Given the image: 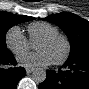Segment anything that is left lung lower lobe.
<instances>
[{"label":"left lung lower lobe","instance_id":"obj_1","mask_svg":"<svg viewBox=\"0 0 89 89\" xmlns=\"http://www.w3.org/2000/svg\"><path fill=\"white\" fill-rule=\"evenodd\" d=\"M62 67L58 72L46 71L39 89H89V54L67 60Z\"/></svg>","mask_w":89,"mask_h":89}]
</instances>
